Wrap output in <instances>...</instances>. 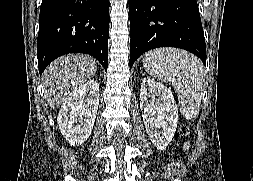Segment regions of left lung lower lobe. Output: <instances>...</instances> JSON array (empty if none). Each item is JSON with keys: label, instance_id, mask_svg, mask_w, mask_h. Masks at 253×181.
Instances as JSON below:
<instances>
[{"label": "left lung lower lobe", "instance_id": "obj_1", "mask_svg": "<svg viewBox=\"0 0 253 181\" xmlns=\"http://www.w3.org/2000/svg\"><path fill=\"white\" fill-rule=\"evenodd\" d=\"M130 68L144 52L178 47L206 65V46L196 0H129Z\"/></svg>", "mask_w": 253, "mask_h": 181}]
</instances>
